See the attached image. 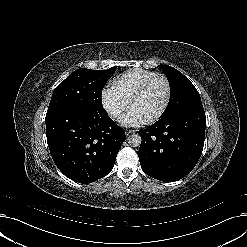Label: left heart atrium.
<instances>
[{
    "instance_id": "obj_1",
    "label": "left heart atrium",
    "mask_w": 247,
    "mask_h": 247,
    "mask_svg": "<svg viewBox=\"0 0 247 247\" xmlns=\"http://www.w3.org/2000/svg\"><path fill=\"white\" fill-rule=\"evenodd\" d=\"M129 122L131 124H133V125H138V124L144 123L145 122V118H143L141 115H139L136 112H132L129 115Z\"/></svg>"
}]
</instances>
